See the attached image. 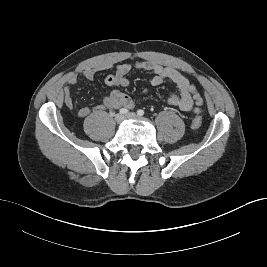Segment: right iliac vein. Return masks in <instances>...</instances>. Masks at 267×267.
<instances>
[{"mask_svg":"<svg viewBox=\"0 0 267 267\" xmlns=\"http://www.w3.org/2000/svg\"><path fill=\"white\" fill-rule=\"evenodd\" d=\"M124 119H125V116H124L123 114H121V113H119V114H117V115L115 116V121H116L117 123H121Z\"/></svg>","mask_w":267,"mask_h":267,"instance_id":"obj_1","label":"right iliac vein"}]
</instances>
